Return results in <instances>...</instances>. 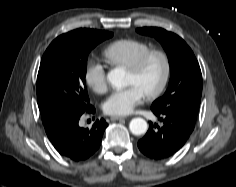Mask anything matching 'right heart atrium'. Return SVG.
<instances>
[{
  "label": "right heart atrium",
  "instance_id": "right-heart-atrium-1",
  "mask_svg": "<svg viewBox=\"0 0 236 187\" xmlns=\"http://www.w3.org/2000/svg\"><path fill=\"white\" fill-rule=\"evenodd\" d=\"M84 81L96 93H104L107 90L105 70L98 62L87 64L84 70Z\"/></svg>",
  "mask_w": 236,
  "mask_h": 187
}]
</instances>
